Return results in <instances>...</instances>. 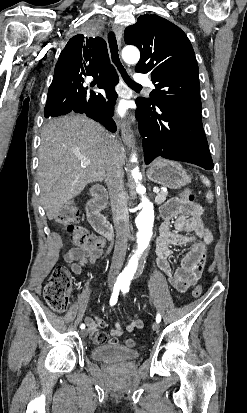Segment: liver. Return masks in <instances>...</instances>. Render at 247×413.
<instances>
[{"mask_svg": "<svg viewBox=\"0 0 247 413\" xmlns=\"http://www.w3.org/2000/svg\"><path fill=\"white\" fill-rule=\"evenodd\" d=\"M108 144L112 146L108 130L87 116H61L44 124L37 174L49 221L56 219L63 204L80 194L88 182L104 180L111 154ZM84 158L91 160L90 164H84ZM119 158L123 164L124 146Z\"/></svg>", "mask_w": 247, "mask_h": 413, "instance_id": "liver-1", "label": "liver"}]
</instances>
